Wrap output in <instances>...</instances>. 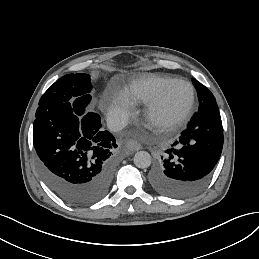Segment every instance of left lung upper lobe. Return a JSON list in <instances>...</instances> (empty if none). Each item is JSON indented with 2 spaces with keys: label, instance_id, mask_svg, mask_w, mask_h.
Segmentation results:
<instances>
[{
  "label": "left lung upper lobe",
  "instance_id": "5c2ea615",
  "mask_svg": "<svg viewBox=\"0 0 259 259\" xmlns=\"http://www.w3.org/2000/svg\"><path fill=\"white\" fill-rule=\"evenodd\" d=\"M192 82L197 90L199 103H203L209 100H215V97L207 87H205L195 79H192Z\"/></svg>",
  "mask_w": 259,
  "mask_h": 259
}]
</instances>
